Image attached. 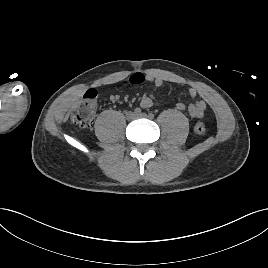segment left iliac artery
I'll return each instance as SVG.
<instances>
[{"label": "left iliac artery", "instance_id": "1", "mask_svg": "<svg viewBox=\"0 0 268 268\" xmlns=\"http://www.w3.org/2000/svg\"><path fill=\"white\" fill-rule=\"evenodd\" d=\"M148 117H149L150 119H153V118H154V114H153V113H149Z\"/></svg>", "mask_w": 268, "mask_h": 268}]
</instances>
